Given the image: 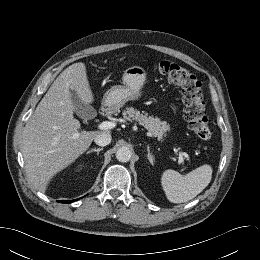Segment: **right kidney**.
I'll return each instance as SVG.
<instances>
[{"label":"right kidney","instance_id":"1","mask_svg":"<svg viewBox=\"0 0 260 260\" xmlns=\"http://www.w3.org/2000/svg\"><path fill=\"white\" fill-rule=\"evenodd\" d=\"M82 169V166L78 168V170Z\"/></svg>","mask_w":260,"mask_h":260}]
</instances>
